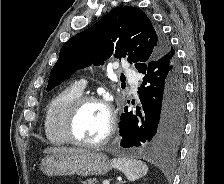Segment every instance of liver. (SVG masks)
<instances>
[{
  "instance_id": "1",
  "label": "liver",
  "mask_w": 224,
  "mask_h": 184,
  "mask_svg": "<svg viewBox=\"0 0 224 184\" xmlns=\"http://www.w3.org/2000/svg\"><path fill=\"white\" fill-rule=\"evenodd\" d=\"M79 151H82V150L60 148V147H49L44 150V153L51 154V155H60V154H68V153H74Z\"/></svg>"
}]
</instances>
